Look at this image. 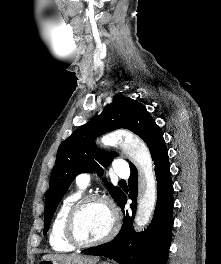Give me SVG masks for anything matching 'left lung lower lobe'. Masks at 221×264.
<instances>
[{
    "mask_svg": "<svg viewBox=\"0 0 221 264\" xmlns=\"http://www.w3.org/2000/svg\"><path fill=\"white\" fill-rule=\"evenodd\" d=\"M152 159L157 177V203L147 230L139 234L133 230L138 174L137 171H131L128 185L129 198L133 200L132 212L124 211L127 201L124 194L119 203L124 213V222L119 234L112 241L85 249L82 253L111 258L119 264H166L171 243L174 200L168 150L164 141L158 146Z\"/></svg>",
    "mask_w": 221,
    "mask_h": 264,
    "instance_id": "1",
    "label": "left lung lower lobe"
}]
</instances>
